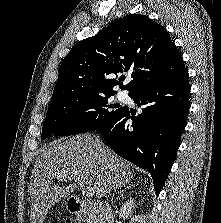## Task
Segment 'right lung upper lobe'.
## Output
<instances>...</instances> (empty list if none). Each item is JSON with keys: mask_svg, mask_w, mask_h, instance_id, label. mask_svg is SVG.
Returning <instances> with one entry per match:
<instances>
[{"mask_svg": "<svg viewBox=\"0 0 221 223\" xmlns=\"http://www.w3.org/2000/svg\"><path fill=\"white\" fill-rule=\"evenodd\" d=\"M185 69L166 29L145 15L130 14L73 46L60 66L51 102L74 95L116 93L115 85L130 94ZM128 70L132 80L125 86L120 79L109 78Z\"/></svg>", "mask_w": 221, "mask_h": 223, "instance_id": "cb5924a9", "label": "right lung upper lobe"}]
</instances>
